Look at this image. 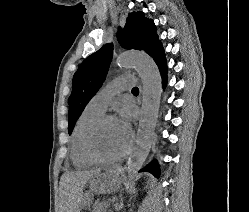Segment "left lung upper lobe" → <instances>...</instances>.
I'll return each instance as SVG.
<instances>
[{
    "mask_svg": "<svg viewBox=\"0 0 249 212\" xmlns=\"http://www.w3.org/2000/svg\"><path fill=\"white\" fill-rule=\"evenodd\" d=\"M117 37L124 48L143 50L152 58L163 50L153 20L144 17L143 12L130 13L124 29L119 28ZM112 55L113 45L106 44L87 57L74 74L73 89L68 100L69 134L85 106L105 81Z\"/></svg>",
    "mask_w": 249,
    "mask_h": 212,
    "instance_id": "1",
    "label": "left lung upper lobe"
}]
</instances>
